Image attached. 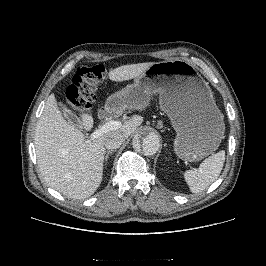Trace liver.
Here are the masks:
<instances>
[{
  "label": "liver",
  "mask_w": 266,
  "mask_h": 266,
  "mask_svg": "<svg viewBox=\"0 0 266 266\" xmlns=\"http://www.w3.org/2000/svg\"><path fill=\"white\" fill-rule=\"evenodd\" d=\"M153 62L123 65L111 70L109 79L126 81L142 75ZM77 127L62 116L55 95L48 96L35 130V150L38 168L45 182L64 196L73 199L90 197L98 189L103 177L106 153L104 140L118 133L128 138L142 124L143 118L134 116L116 130L94 140H86L79 128L90 130L93 117L80 114Z\"/></svg>",
  "instance_id": "6515ba94"
}]
</instances>
